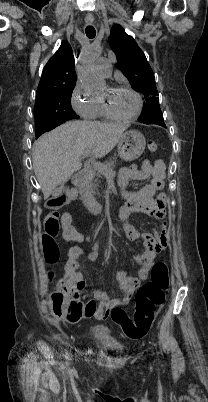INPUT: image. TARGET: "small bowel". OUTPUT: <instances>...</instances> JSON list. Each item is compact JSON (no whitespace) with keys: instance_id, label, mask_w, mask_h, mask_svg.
Returning <instances> with one entry per match:
<instances>
[{"instance_id":"1","label":"small bowel","mask_w":208,"mask_h":402,"mask_svg":"<svg viewBox=\"0 0 208 402\" xmlns=\"http://www.w3.org/2000/svg\"><path fill=\"white\" fill-rule=\"evenodd\" d=\"M165 173V163L160 159L155 162L144 160L140 167H124L119 171L117 184L121 196L126 201L121 209L122 218L126 219L132 213H146L161 220L165 219L167 196L164 193H160L155 198L158 191L164 187ZM130 181H148V183L141 189L128 190L127 185ZM123 229L127 237L131 240H136L142 237L145 246V250L137 257V262L140 265L137 275L130 277L124 272H119L116 276L124 297L121 299H109L104 292H91L86 289L85 277L81 271L79 263L76 267H69L67 264L68 260L65 263V277L61 279L71 280V295L67 296H75L78 298L93 297L108 305L122 304L138 286L139 282L146 279L155 254L160 252L167 245V223L164 221L161 229H154L152 233H140L139 230L126 222L123 224ZM68 240L72 244L89 243L90 237L72 235ZM74 249L71 250L70 254H74ZM90 257L95 258L96 254L91 253ZM94 317L97 318L99 323H102L104 318H106V315L104 313H97ZM81 321L82 318L80 315L66 316L62 323V328L64 330H78L81 327Z\"/></svg>"}]
</instances>
